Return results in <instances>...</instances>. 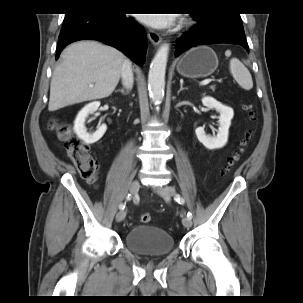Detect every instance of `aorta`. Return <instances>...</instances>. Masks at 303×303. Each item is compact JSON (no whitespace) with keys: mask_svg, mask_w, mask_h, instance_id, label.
Instances as JSON below:
<instances>
[{"mask_svg":"<svg viewBox=\"0 0 303 303\" xmlns=\"http://www.w3.org/2000/svg\"><path fill=\"white\" fill-rule=\"evenodd\" d=\"M169 54V44H162L156 52L149 69L148 90L151 100L162 101L165 89V73Z\"/></svg>","mask_w":303,"mask_h":303,"instance_id":"762f6f07","label":"aorta"}]
</instances>
